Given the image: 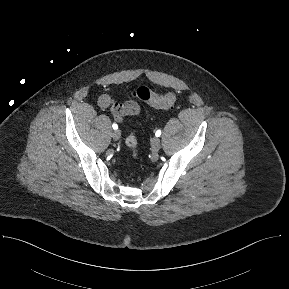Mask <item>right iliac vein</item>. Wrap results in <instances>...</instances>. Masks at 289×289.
Masks as SVG:
<instances>
[{"mask_svg":"<svg viewBox=\"0 0 289 289\" xmlns=\"http://www.w3.org/2000/svg\"><path fill=\"white\" fill-rule=\"evenodd\" d=\"M120 137H121V132L119 131V130H115V131H113V133H112V138L114 139V140H119L120 139Z\"/></svg>","mask_w":289,"mask_h":289,"instance_id":"obj_1","label":"right iliac vein"}]
</instances>
